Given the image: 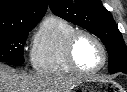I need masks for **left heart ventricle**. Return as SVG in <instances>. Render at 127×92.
Returning a JSON list of instances; mask_svg holds the SVG:
<instances>
[{"instance_id": "left-heart-ventricle-1", "label": "left heart ventricle", "mask_w": 127, "mask_h": 92, "mask_svg": "<svg viewBox=\"0 0 127 92\" xmlns=\"http://www.w3.org/2000/svg\"><path fill=\"white\" fill-rule=\"evenodd\" d=\"M74 55L78 66L85 70H93L102 62V54L98 45L88 36L78 38Z\"/></svg>"}]
</instances>
